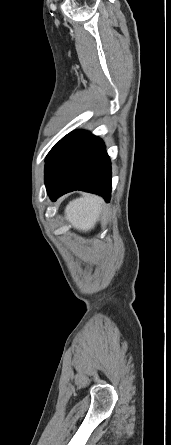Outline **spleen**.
Returning <instances> with one entry per match:
<instances>
[{"mask_svg": "<svg viewBox=\"0 0 171 445\" xmlns=\"http://www.w3.org/2000/svg\"><path fill=\"white\" fill-rule=\"evenodd\" d=\"M102 208L103 201L101 198L85 195L71 201L65 208V214L74 228L88 231L94 228Z\"/></svg>", "mask_w": 171, "mask_h": 445, "instance_id": "3e777b00", "label": "spleen"}]
</instances>
